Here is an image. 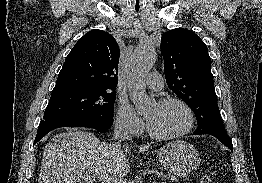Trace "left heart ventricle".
<instances>
[{"instance_id":"obj_1","label":"left heart ventricle","mask_w":262,"mask_h":183,"mask_svg":"<svg viewBox=\"0 0 262 183\" xmlns=\"http://www.w3.org/2000/svg\"><path fill=\"white\" fill-rule=\"evenodd\" d=\"M145 117L150 127L158 134L171 135L184 130L189 124L188 112L177 103L152 105Z\"/></svg>"}]
</instances>
